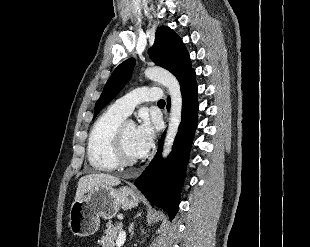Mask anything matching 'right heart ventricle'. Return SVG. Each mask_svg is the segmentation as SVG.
<instances>
[{
  "label": "right heart ventricle",
  "instance_id": "obj_1",
  "mask_svg": "<svg viewBox=\"0 0 310 247\" xmlns=\"http://www.w3.org/2000/svg\"><path fill=\"white\" fill-rule=\"evenodd\" d=\"M125 117L112 105L93 124L88 139L87 156L95 170L113 171L118 167L114 156L115 135Z\"/></svg>",
  "mask_w": 310,
  "mask_h": 247
}]
</instances>
